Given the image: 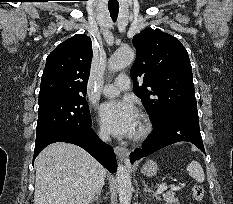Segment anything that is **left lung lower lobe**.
Returning <instances> with one entry per match:
<instances>
[{"label": "left lung lower lobe", "instance_id": "0a47b994", "mask_svg": "<svg viewBox=\"0 0 233 204\" xmlns=\"http://www.w3.org/2000/svg\"><path fill=\"white\" fill-rule=\"evenodd\" d=\"M153 131L142 147L130 154L131 163L179 141L195 144L205 153L198 116L169 114L152 120Z\"/></svg>", "mask_w": 233, "mask_h": 204}]
</instances>
